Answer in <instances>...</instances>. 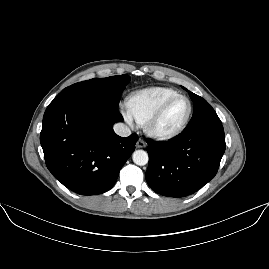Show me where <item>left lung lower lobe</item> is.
<instances>
[{
  "label": "left lung lower lobe",
  "mask_w": 269,
  "mask_h": 269,
  "mask_svg": "<svg viewBox=\"0 0 269 269\" xmlns=\"http://www.w3.org/2000/svg\"><path fill=\"white\" fill-rule=\"evenodd\" d=\"M147 143L146 181L153 191L168 197H185L207 184L225 151L222 124L183 132L169 142Z\"/></svg>",
  "instance_id": "left-lung-lower-lobe-1"
}]
</instances>
